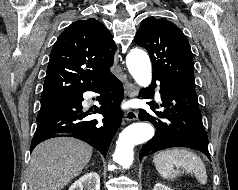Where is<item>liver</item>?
<instances>
[{"instance_id": "1", "label": "liver", "mask_w": 238, "mask_h": 190, "mask_svg": "<svg viewBox=\"0 0 238 190\" xmlns=\"http://www.w3.org/2000/svg\"><path fill=\"white\" fill-rule=\"evenodd\" d=\"M92 156V147L72 137L48 139L31 155L29 190H61L77 177Z\"/></svg>"}]
</instances>
